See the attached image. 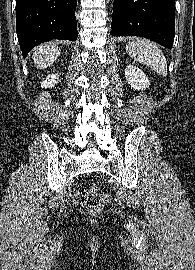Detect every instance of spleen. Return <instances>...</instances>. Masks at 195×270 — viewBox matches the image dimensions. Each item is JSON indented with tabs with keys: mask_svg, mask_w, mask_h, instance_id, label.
Here are the masks:
<instances>
[{
	"mask_svg": "<svg viewBox=\"0 0 195 270\" xmlns=\"http://www.w3.org/2000/svg\"><path fill=\"white\" fill-rule=\"evenodd\" d=\"M129 55L136 61L147 65L158 74L166 77L167 61L162 51L146 39H136L126 46Z\"/></svg>",
	"mask_w": 195,
	"mask_h": 270,
	"instance_id": "obj_1",
	"label": "spleen"
}]
</instances>
